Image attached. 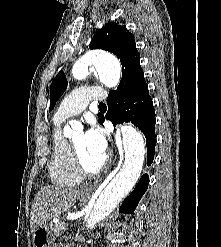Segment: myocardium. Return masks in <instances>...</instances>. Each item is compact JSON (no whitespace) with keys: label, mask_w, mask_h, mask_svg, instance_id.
<instances>
[{"label":"myocardium","mask_w":221,"mask_h":247,"mask_svg":"<svg viewBox=\"0 0 221 247\" xmlns=\"http://www.w3.org/2000/svg\"><path fill=\"white\" fill-rule=\"evenodd\" d=\"M69 146H70L71 154H72L76 169L81 176H84V177L97 176L103 170H105V168L107 167V165L109 163V158L107 156H104L101 163L99 164V166L97 168H95L94 170H89L84 165L83 160H82L80 154L78 153V150H77L73 140L69 142Z\"/></svg>","instance_id":"f54148a6"}]
</instances>
